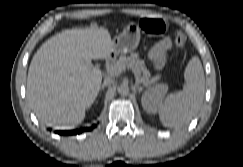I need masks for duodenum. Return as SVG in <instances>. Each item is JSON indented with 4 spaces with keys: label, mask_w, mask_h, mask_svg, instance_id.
<instances>
[{
    "label": "duodenum",
    "mask_w": 243,
    "mask_h": 167,
    "mask_svg": "<svg viewBox=\"0 0 243 167\" xmlns=\"http://www.w3.org/2000/svg\"><path fill=\"white\" fill-rule=\"evenodd\" d=\"M112 59V55L109 57V60H111Z\"/></svg>",
    "instance_id": "duodenum-1"
}]
</instances>
